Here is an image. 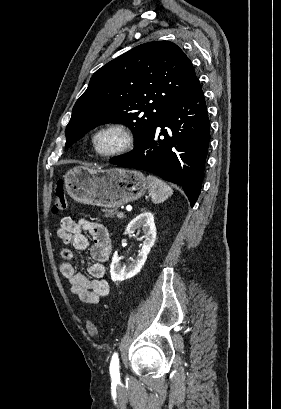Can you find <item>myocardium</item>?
<instances>
[{
	"label": "myocardium",
	"instance_id": "1",
	"mask_svg": "<svg viewBox=\"0 0 281 409\" xmlns=\"http://www.w3.org/2000/svg\"><path fill=\"white\" fill-rule=\"evenodd\" d=\"M104 137H111L113 144L110 148L102 150L99 142ZM135 135L131 129L121 123H109L99 127L92 135L91 144L93 151L103 157L121 155L133 147Z\"/></svg>",
	"mask_w": 281,
	"mask_h": 409
}]
</instances>
